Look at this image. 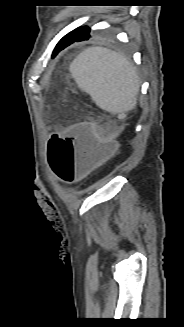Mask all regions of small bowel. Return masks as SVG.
I'll list each match as a JSON object with an SVG mask.
<instances>
[{
	"label": "small bowel",
	"instance_id": "obj_1",
	"mask_svg": "<svg viewBox=\"0 0 184 327\" xmlns=\"http://www.w3.org/2000/svg\"><path fill=\"white\" fill-rule=\"evenodd\" d=\"M72 127H73V125L70 126V127L64 128V129H62V130H59V131H57L54 135H66V130H67V129H73Z\"/></svg>",
	"mask_w": 184,
	"mask_h": 327
}]
</instances>
